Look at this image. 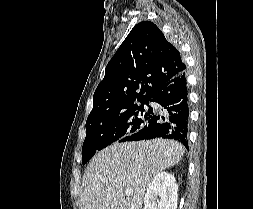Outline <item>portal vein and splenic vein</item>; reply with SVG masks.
<instances>
[{
  "mask_svg": "<svg viewBox=\"0 0 253 209\" xmlns=\"http://www.w3.org/2000/svg\"><path fill=\"white\" fill-rule=\"evenodd\" d=\"M125 194H126V196H131L133 194V189L132 188H127L125 190Z\"/></svg>",
  "mask_w": 253,
  "mask_h": 209,
  "instance_id": "portal-vein-and-splenic-vein-1",
  "label": "portal vein and splenic vein"
}]
</instances>
